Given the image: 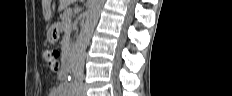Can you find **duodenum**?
Returning <instances> with one entry per match:
<instances>
[{
    "instance_id": "1",
    "label": "duodenum",
    "mask_w": 232,
    "mask_h": 96,
    "mask_svg": "<svg viewBox=\"0 0 232 96\" xmlns=\"http://www.w3.org/2000/svg\"><path fill=\"white\" fill-rule=\"evenodd\" d=\"M74 55H75V48L74 47H70L68 49V54H67L66 62L64 64V66H63V71H62V75L65 78H68V76L71 74V72L73 70Z\"/></svg>"
}]
</instances>
